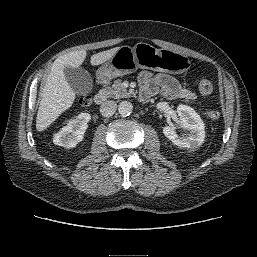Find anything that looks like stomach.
Masks as SVG:
<instances>
[{"instance_id":"0dacf381","label":"stomach","mask_w":257,"mask_h":257,"mask_svg":"<svg viewBox=\"0 0 257 257\" xmlns=\"http://www.w3.org/2000/svg\"><path fill=\"white\" fill-rule=\"evenodd\" d=\"M191 61L183 54L167 49H157L147 43L134 47L122 46L98 70L100 80H110L135 72L138 68L180 74L189 70Z\"/></svg>"}]
</instances>
